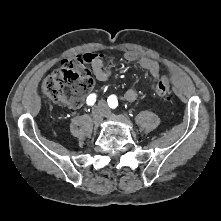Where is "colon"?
<instances>
[{
	"instance_id": "colon-1",
	"label": "colon",
	"mask_w": 221,
	"mask_h": 221,
	"mask_svg": "<svg viewBox=\"0 0 221 221\" xmlns=\"http://www.w3.org/2000/svg\"><path fill=\"white\" fill-rule=\"evenodd\" d=\"M87 63L88 60L81 56L64 59L61 67L43 80L41 88L44 94L54 101L79 106L94 83ZM155 91L161 98H171L167 76L161 77Z\"/></svg>"
}]
</instances>
